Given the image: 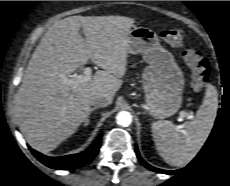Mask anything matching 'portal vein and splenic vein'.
Instances as JSON below:
<instances>
[{
  "label": "portal vein and splenic vein",
  "mask_w": 230,
  "mask_h": 186,
  "mask_svg": "<svg viewBox=\"0 0 230 186\" xmlns=\"http://www.w3.org/2000/svg\"><path fill=\"white\" fill-rule=\"evenodd\" d=\"M91 74H92L91 68L86 67L83 70V74H81V75H72L69 79H65V80L72 87H76L80 83L90 81L91 80ZM179 115L180 116H179L178 121H184L185 118L186 119H192L193 118L192 113H187L185 111H181Z\"/></svg>",
  "instance_id": "obj_1"
}]
</instances>
